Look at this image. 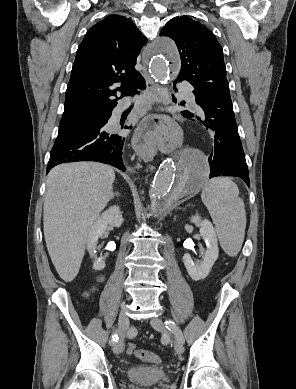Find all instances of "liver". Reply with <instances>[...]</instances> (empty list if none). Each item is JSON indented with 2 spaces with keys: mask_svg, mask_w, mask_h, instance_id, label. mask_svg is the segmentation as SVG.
<instances>
[{
  "mask_svg": "<svg viewBox=\"0 0 296 389\" xmlns=\"http://www.w3.org/2000/svg\"><path fill=\"white\" fill-rule=\"evenodd\" d=\"M113 169L97 162L64 163L47 177L44 237L62 280L77 276L89 232L113 194Z\"/></svg>",
  "mask_w": 296,
  "mask_h": 389,
  "instance_id": "1",
  "label": "liver"
}]
</instances>
